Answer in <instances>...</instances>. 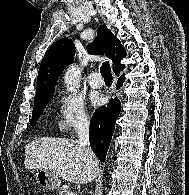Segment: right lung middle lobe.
Returning a JSON list of instances; mask_svg holds the SVG:
<instances>
[{"label":"right lung middle lobe","instance_id":"1","mask_svg":"<svg viewBox=\"0 0 189 195\" xmlns=\"http://www.w3.org/2000/svg\"><path fill=\"white\" fill-rule=\"evenodd\" d=\"M50 99L51 97L34 103L33 112H32V121L30 122L32 126L36 125L37 120L40 117V114L43 112L44 108L46 107Z\"/></svg>","mask_w":189,"mask_h":195}]
</instances>
